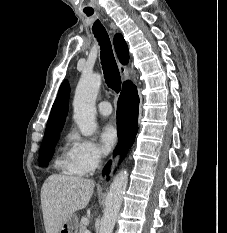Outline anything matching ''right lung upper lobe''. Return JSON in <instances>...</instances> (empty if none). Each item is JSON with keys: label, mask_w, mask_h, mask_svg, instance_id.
Here are the masks:
<instances>
[{"label": "right lung upper lobe", "mask_w": 227, "mask_h": 233, "mask_svg": "<svg viewBox=\"0 0 227 233\" xmlns=\"http://www.w3.org/2000/svg\"><path fill=\"white\" fill-rule=\"evenodd\" d=\"M114 46L120 62L123 65L127 64L129 60L128 47L120 34L115 35ZM124 86L125 83L123 84V87ZM69 93V84L67 81H64L59 88L57 98L52 106L44 138L56 135L62 130L68 112Z\"/></svg>", "instance_id": "right-lung-upper-lobe-1"}]
</instances>
